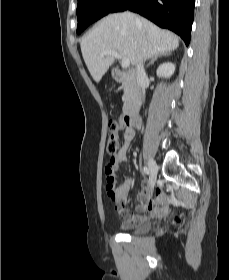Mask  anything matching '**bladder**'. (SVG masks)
Instances as JSON below:
<instances>
[{
  "instance_id": "31cf9c89",
  "label": "bladder",
  "mask_w": 229,
  "mask_h": 280,
  "mask_svg": "<svg viewBox=\"0 0 229 280\" xmlns=\"http://www.w3.org/2000/svg\"><path fill=\"white\" fill-rule=\"evenodd\" d=\"M152 228V221L150 219H143L139 221L135 226L127 229L130 234H144L150 231Z\"/></svg>"
}]
</instances>
